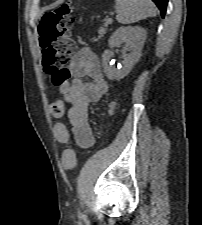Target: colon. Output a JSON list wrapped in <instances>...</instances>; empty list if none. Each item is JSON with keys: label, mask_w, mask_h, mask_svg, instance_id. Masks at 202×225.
<instances>
[{"label": "colon", "mask_w": 202, "mask_h": 225, "mask_svg": "<svg viewBox=\"0 0 202 225\" xmlns=\"http://www.w3.org/2000/svg\"><path fill=\"white\" fill-rule=\"evenodd\" d=\"M72 6L64 4L54 11L44 14L39 23V43L42 50V67L54 86H59L68 77L67 63L74 51V41L71 38L73 19L70 16ZM55 117L64 114V104L56 100L51 105ZM74 149L68 145L62 153L61 164L64 170L75 167Z\"/></svg>", "instance_id": "1"}]
</instances>
